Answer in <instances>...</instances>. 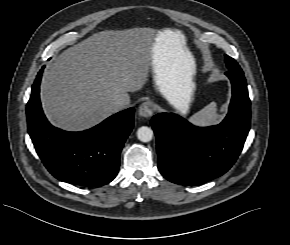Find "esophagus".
Instances as JSON below:
<instances>
[{"label":"esophagus","mask_w":290,"mask_h":245,"mask_svg":"<svg viewBox=\"0 0 290 245\" xmlns=\"http://www.w3.org/2000/svg\"><path fill=\"white\" fill-rule=\"evenodd\" d=\"M139 116L142 118H149L153 115L154 109L150 101H144L139 107Z\"/></svg>","instance_id":"esophagus-1"}]
</instances>
